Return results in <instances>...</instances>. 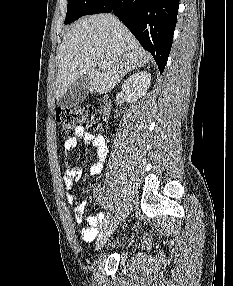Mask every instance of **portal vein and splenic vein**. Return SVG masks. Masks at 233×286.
<instances>
[{"label": "portal vein and splenic vein", "instance_id": "portal-vein-and-splenic-vein-1", "mask_svg": "<svg viewBox=\"0 0 233 286\" xmlns=\"http://www.w3.org/2000/svg\"><path fill=\"white\" fill-rule=\"evenodd\" d=\"M97 64H98V67H99V68H104L105 63L99 62V63H97Z\"/></svg>", "mask_w": 233, "mask_h": 286}]
</instances>
